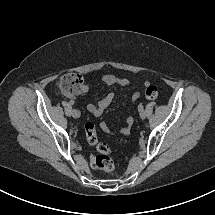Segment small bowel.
<instances>
[{
	"label": "small bowel",
	"instance_id": "obj_1",
	"mask_svg": "<svg viewBox=\"0 0 215 215\" xmlns=\"http://www.w3.org/2000/svg\"><path fill=\"white\" fill-rule=\"evenodd\" d=\"M102 80L107 85H119V86L125 87L130 84V81L127 78H119L112 74H105L102 77ZM87 91H88V86L84 85L83 92H87ZM139 96L140 95L138 92L134 93L132 97L133 101H136L139 98ZM114 97H115L114 93L110 92L106 94L103 98H101L97 103L88 104L87 105L88 112L96 117L101 116L104 110L108 106H110V104L113 102ZM132 125H133V118L130 116L126 119L125 124L121 129V133L124 135H129L132 129ZM102 128L106 132L114 133V131L110 127H108L105 123L102 124Z\"/></svg>",
	"mask_w": 215,
	"mask_h": 215
}]
</instances>
